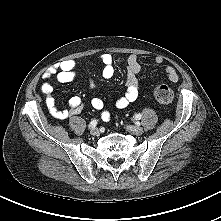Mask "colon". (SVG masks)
Instances as JSON below:
<instances>
[{"label": "colon", "instance_id": "1", "mask_svg": "<svg viewBox=\"0 0 221 221\" xmlns=\"http://www.w3.org/2000/svg\"><path fill=\"white\" fill-rule=\"evenodd\" d=\"M154 97L159 103L169 105L173 101L174 93L167 85H159L154 90Z\"/></svg>", "mask_w": 221, "mask_h": 221}]
</instances>
